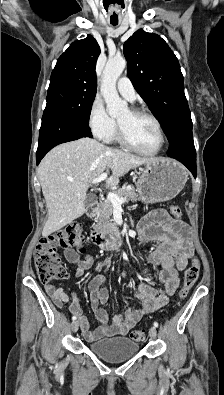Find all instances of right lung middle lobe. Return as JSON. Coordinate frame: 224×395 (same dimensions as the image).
<instances>
[{"label": "right lung middle lobe", "instance_id": "obj_1", "mask_svg": "<svg viewBox=\"0 0 224 395\" xmlns=\"http://www.w3.org/2000/svg\"><path fill=\"white\" fill-rule=\"evenodd\" d=\"M96 88L79 83L50 79L45 111L72 117L88 126Z\"/></svg>", "mask_w": 224, "mask_h": 395}]
</instances>
